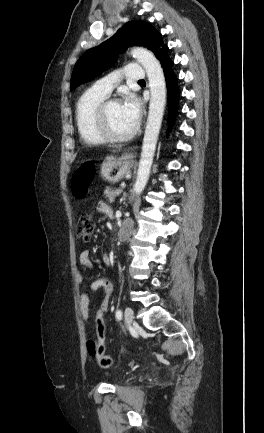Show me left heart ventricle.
Wrapping results in <instances>:
<instances>
[{"label": "left heart ventricle", "mask_w": 264, "mask_h": 433, "mask_svg": "<svg viewBox=\"0 0 264 433\" xmlns=\"http://www.w3.org/2000/svg\"><path fill=\"white\" fill-rule=\"evenodd\" d=\"M107 118L110 129L119 135L127 133L136 124L126 114L121 103L113 104L108 108Z\"/></svg>", "instance_id": "left-heart-ventricle-1"}]
</instances>
